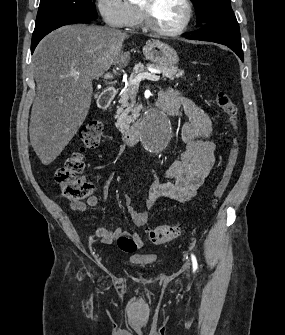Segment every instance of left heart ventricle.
I'll return each mask as SVG.
<instances>
[{"label": "left heart ventricle", "instance_id": "obj_1", "mask_svg": "<svg viewBox=\"0 0 285 335\" xmlns=\"http://www.w3.org/2000/svg\"><path fill=\"white\" fill-rule=\"evenodd\" d=\"M154 23L167 30L178 28L186 18V9L179 1H152Z\"/></svg>", "mask_w": 285, "mask_h": 335}]
</instances>
